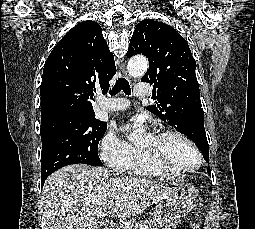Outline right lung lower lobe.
<instances>
[{"label": "right lung lower lobe", "mask_w": 255, "mask_h": 229, "mask_svg": "<svg viewBox=\"0 0 255 229\" xmlns=\"http://www.w3.org/2000/svg\"><path fill=\"white\" fill-rule=\"evenodd\" d=\"M50 174H43V175H41V184H42V186L44 185V182H45V180L47 179V177L49 176Z\"/></svg>", "instance_id": "obj_1"}]
</instances>
